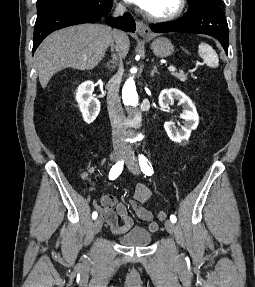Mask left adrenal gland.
Returning a JSON list of instances; mask_svg holds the SVG:
<instances>
[{"instance_id": "obj_1", "label": "left adrenal gland", "mask_w": 255, "mask_h": 287, "mask_svg": "<svg viewBox=\"0 0 255 287\" xmlns=\"http://www.w3.org/2000/svg\"><path fill=\"white\" fill-rule=\"evenodd\" d=\"M154 74H158L157 72V66H153V70L151 72V76H154Z\"/></svg>"}]
</instances>
